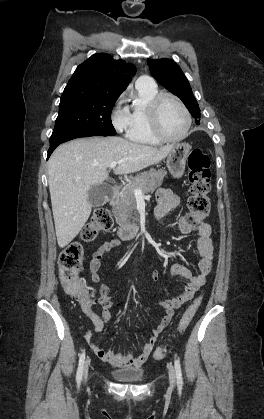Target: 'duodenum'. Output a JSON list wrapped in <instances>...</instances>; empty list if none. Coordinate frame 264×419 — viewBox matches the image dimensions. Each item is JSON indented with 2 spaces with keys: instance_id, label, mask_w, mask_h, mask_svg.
<instances>
[{
  "instance_id": "1",
  "label": "duodenum",
  "mask_w": 264,
  "mask_h": 419,
  "mask_svg": "<svg viewBox=\"0 0 264 419\" xmlns=\"http://www.w3.org/2000/svg\"><path fill=\"white\" fill-rule=\"evenodd\" d=\"M119 195H120L119 188L116 186L113 187L109 195V201L115 202L116 200H118ZM139 232H140V228L137 224H124L119 227L117 234L121 239L127 240V239L134 238L135 236L139 234Z\"/></svg>"
}]
</instances>
